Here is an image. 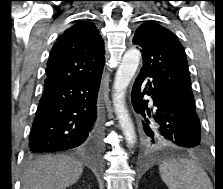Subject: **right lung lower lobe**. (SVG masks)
<instances>
[{
    "instance_id": "1",
    "label": "right lung lower lobe",
    "mask_w": 223,
    "mask_h": 189,
    "mask_svg": "<svg viewBox=\"0 0 223 189\" xmlns=\"http://www.w3.org/2000/svg\"><path fill=\"white\" fill-rule=\"evenodd\" d=\"M102 73L78 80L47 82L29 136V154L75 147L95 149L101 137L98 90Z\"/></svg>"
}]
</instances>
